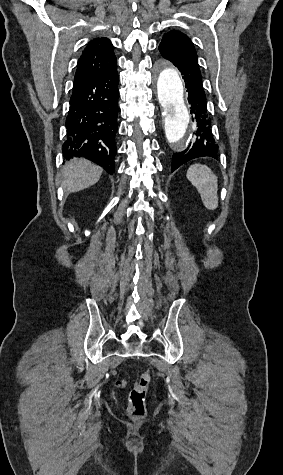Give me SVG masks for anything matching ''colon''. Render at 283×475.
<instances>
[{"label": "colon", "mask_w": 283, "mask_h": 475, "mask_svg": "<svg viewBox=\"0 0 283 475\" xmlns=\"http://www.w3.org/2000/svg\"><path fill=\"white\" fill-rule=\"evenodd\" d=\"M151 379L152 372L145 370L138 380L131 385L128 410L133 418H143L146 415V395Z\"/></svg>", "instance_id": "colon-1"}]
</instances>
